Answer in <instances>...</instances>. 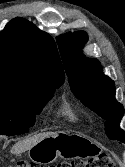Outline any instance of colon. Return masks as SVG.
<instances>
[{
  "instance_id": "colon-1",
  "label": "colon",
  "mask_w": 125,
  "mask_h": 167,
  "mask_svg": "<svg viewBox=\"0 0 125 167\" xmlns=\"http://www.w3.org/2000/svg\"><path fill=\"white\" fill-rule=\"evenodd\" d=\"M12 167H37L28 164L26 161L20 160ZM44 167V166H39ZM46 167H115L114 159L109 154H99L88 159H76L71 161L59 162L55 165H48Z\"/></svg>"
}]
</instances>
